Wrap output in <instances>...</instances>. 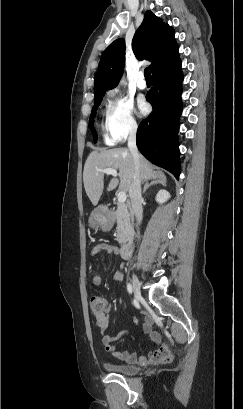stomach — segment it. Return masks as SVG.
Instances as JSON below:
<instances>
[{
  "mask_svg": "<svg viewBox=\"0 0 243 409\" xmlns=\"http://www.w3.org/2000/svg\"><path fill=\"white\" fill-rule=\"evenodd\" d=\"M89 225L95 230H110L112 221L108 209L105 206H99L94 209L89 217Z\"/></svg>",
  "mask_w": 243,
  "mask_h": 409,
  "instance_id": "1",
  "label": "stomach"
}]
</instances>
